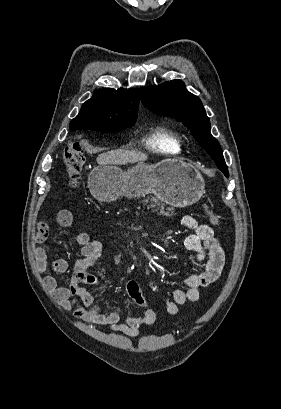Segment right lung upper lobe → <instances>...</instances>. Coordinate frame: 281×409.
I'll return each instance as SVG.
<instances>
[{"label":"right lung upper lobe","mask_w":281,"mask_h":409,"mask_svg":"<svg viewBox=\"0 0 281 409\" xmlns=\"http://www.w3.org/2000/svg\"><path fill=\"white\" fill-rule=\"evenodd\" d=\"M139 95L137 89H103L86 101L71 121L70 130L84 127H118L134 125L137 119Z\"/></svg>","instance_id":"obj_1"}]
</instances>
